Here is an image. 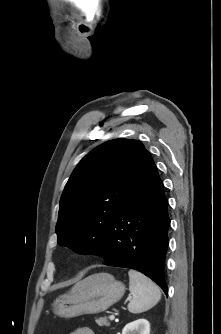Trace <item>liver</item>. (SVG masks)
I'll return each mask as SVG.
<instances>
[{
    "label": "liver",
    "mask_w": 221,
    "mask_h": 334,
    "mask_svg": "<svg viewBox=\"0 0 221 334\" xmlns=\"http://www.w3.org/2000/svg\"><path fill=\"white\" fill-rule=\"evenodd\" d=\"M83 284V281H80L78 283H76L73 287H72V290L71 291H75L77 290L78 288H80Z\"/></svg>",
    "instance_id": "liver-1"
}]
</instances>
